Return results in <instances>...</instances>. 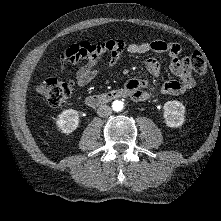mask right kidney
Here are the masks:
<instances>
[{"mask_svg":"<svg viewBox=\"0 0 221 221\" xmlns=\"http://www.w3.org/2000/svg\"><path fill=\"white\" fill-rule=\"evenodd\" d=\"M56 124L62 133L70 134L79 124V113L74 109H67L58 115Z\"/></svg>","mask_w":221,"mask_h":221,"instance_id":"1","label":"right kidney"}]
</instances>
